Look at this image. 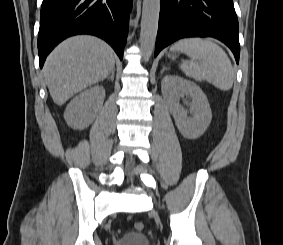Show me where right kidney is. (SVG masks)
Instances as JSON below:
<instances>
[{"label":"right kidney","mask_w":283,"mask_h":245,"mask_svg":"<svg viewBox=\"0 0 283 245\" xmlns=\"http://www.w3.org/2000/svg\"><path fill=\"white\" fill-rule=\"evenodd\" d=\"M105 98L103 86H94L76 96L66 107L64 119L74 129L88 127L101 109Z\"/></svg>","instance_id":"1"}]
</instances>
